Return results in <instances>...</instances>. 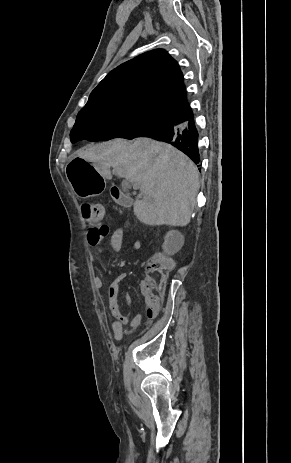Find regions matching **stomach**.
<instances>
[{
    "mask_svg": "<svg viewBox=\"0 0 291 463\" xmlns=\"http://www.w3.org/2000/svg\"><path fill=\"white\" fill-rule=\"evenodd\" d=\"M66 182L71 183L80 198L95 196L104 189L103 177L84 157H71L70 162H67Z\"/></svg>",
    "mask_w": 291,
    "mask_h": 463,
    "instance_id": "0dacf381",
    "label": "stomach"
}]
</instances>
